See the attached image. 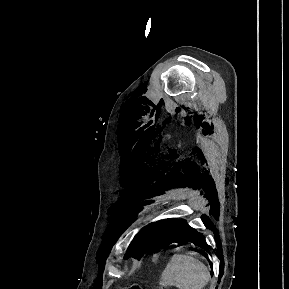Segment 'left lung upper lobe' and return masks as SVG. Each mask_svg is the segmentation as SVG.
I'll return each mask as SVG.
<instances>
[{"mask_svg":"<svg viewBox=\"0 0 289 289\" xmlns=\"http://www.w3.org/2000/svg\"><path fill=\"white\" fill-rule=\"evenodd\" d=\"M166 223L161 221L158 224H150L144 227L129 245L125 259L128 257L139 259L147 251L157 252L166 245Z\"/></svg>","mask_w":289,"mask_h":289,"instance_id":"obj_1","label":"left lung upper lobe"}]
</instances>
